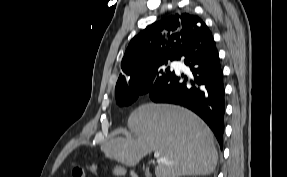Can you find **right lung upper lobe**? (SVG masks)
<instances>
[{
    "label": "right lung upper lobe",
    "mask_w": 287,
    "mask_h": 177,
    "mask_svg": "<svg viewBox=\"0 0 287 177\" xmlns=\"http://www.w3.org/2000/svg\"><path fill=\"white\" fill-rule=\"evenodd\" d=\"M206 24L189 14H176L147 26L129 43L116 87L135 85L157 63L178 60L184 47L197 38Z\"/></svg>",
    "instance_id": "1"
}]
</instances>
